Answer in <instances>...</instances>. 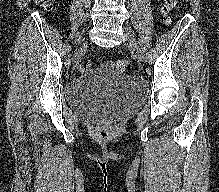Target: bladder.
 Segmentation results:
<instances>
[{"label":"bladder","instance_id":"bladder-1","mask_svg":"<svg viewBox=\"0 0 219 192\" xmlns=\"http://www.w3.org/2000/svg\"><path fill=\"white\" fill-rule=\"evenodd\" d=\"M68 107L89 121L118 119L137 109L146 98L142 82L109 69L84 74L65 89Z\"/></svg>","mask_w":219,"mask_h":192}]
</instances>
